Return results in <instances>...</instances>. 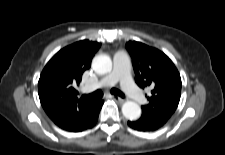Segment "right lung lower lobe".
Returning <instances> with one entry per match:
<instances>
[{
    "instance_id": "obj_1",
    "label": "right lung lower lobe",
    "mask_w": 225,
    "mask_h": 155,
    "mask_svg": "<svg viewBox=\"0 0 225 155\" xmlns=\"http://www.w3.org/2000/svg\"><path fill=\"white\" fill-rule=\"evenodd\" d=\"M103 103H104L103 100L97 99L96 104L94 106V109L92 110V112L88 116V118H87L85 124L83 125V127L80 130H76V131H73V132H79V131H83V130L92 128L97 121V118H98V115H99V112H100V109H101Z\"/></svg>"
}]
</instances>
